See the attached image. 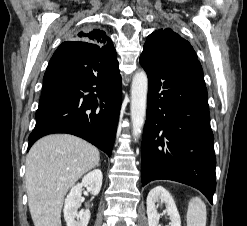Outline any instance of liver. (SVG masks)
<instances>
[{"instance_id": "obj_1", "label": "liver", "mask_w": 247, "mask_h": 226, "mask_svg": "<svg viewBox=\"0 0 247 226\" xmlns=\"http://www.w3.org/2000/svg\"><path fill=\"white\" fill-rule=\"evenodd\" d=\"M99 161L98 149L73 135L56 134L38 140L27 155L25 174L34 225L61 226L66 193Z\"/></svg>"}]
</instances>
